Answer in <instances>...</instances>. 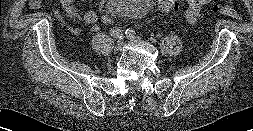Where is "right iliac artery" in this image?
<instances>
[{
    "instance_id": "right-iliac-artery-1",
    "label": "right iliac artery",
    "mask_w": 253,
    "mask_h": 131,
    "mask_svg": "<svg viewBox=\"0 0 253 131\" xmlns=\"http://www.w3.org/2000/svg\"><path fill=\"white\" fill-rule=\"evenodd\" d=\"M110 33L113 37L118 38V39H123V33L121 30H119L118 28H112L110 30Z\"/></svg>"
}]
</instances>
